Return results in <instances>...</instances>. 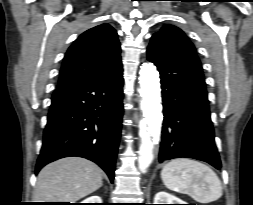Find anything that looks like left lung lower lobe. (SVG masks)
Masks as SVG:
<instances>
[{"label": "left lung lower lobe", "instance_id": "left-lung-lower-lobe-1", "mask_svg": "<svg viewBox=\"0 0 253 205\" xmlns=\"http://www.w3.org/2000/svg\"><path fill=\"white\" fill-rule=\"evenodd\" d=\"M147 57L157 66L161 78L164 121L159 162L186 157L220 169L206 84L196 53L153 36Z\"/></svg>", "mask_w": 253, "mask_h": 205}]
</instances>
